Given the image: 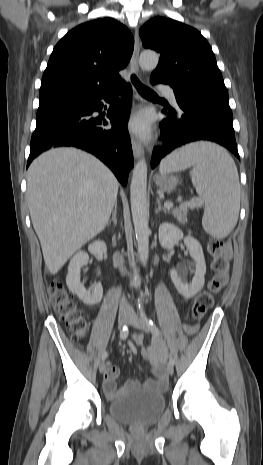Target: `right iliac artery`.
Returning a JSON list of instances; mask_svg holds the SVG:
<instances>
[{"label": "right iliac artery", "mask_w": 263, "mask_h": 465, "mask_svg": "<svg viewBox=\"0 0 263 465\" xmlns=\"http://www.w3.org/2000/svg\"><path fill=\"white\" fill-rule=\"evenodd\" d=\"M129 330L128 326L124 325V327L120 331V339L125 340L128 336ZM108 357V353L104 352L102 355V360H105Z\"/></svg>", "instance_id": "obj_1"}]
</instances>
